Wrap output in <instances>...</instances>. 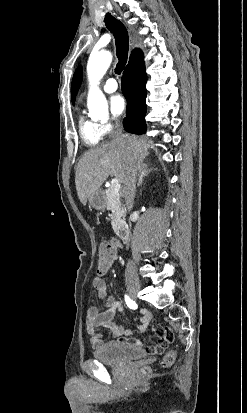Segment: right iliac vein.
Listing matches in <instances>:
<instances>
[{
	"instance_id": "63e3f726",
	"label": "right iliac vein",
	"mask_w": 247,
	"mask_h": 413,
	"mask_svg": "<svg viewBox=\"0 0 247 413\" xmlns=\"http://www.w3.org/2000/svg\"><path fill=\"white\" fill-rule=\"evenodd\" d=\"M138 292H139V285L138 284H134V285L129 287V293H130V296L132 298L136 299L137 295H138Z\"/></svg>"
}]
</instances>
